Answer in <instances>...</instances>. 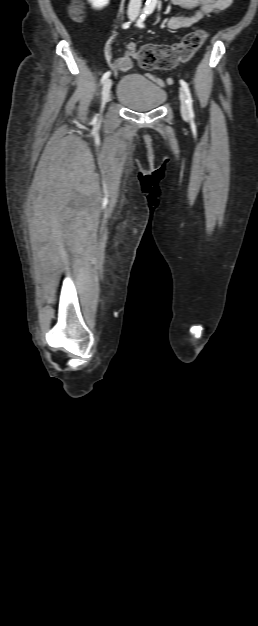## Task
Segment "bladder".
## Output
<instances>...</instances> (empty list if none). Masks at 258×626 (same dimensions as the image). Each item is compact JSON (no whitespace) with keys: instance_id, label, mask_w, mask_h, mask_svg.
I'll return each instance as SVG.
<instances>
[{"instance_id":"1","label":"bladder","mask_w":258,"mask_h":626,"mask_svg":"<svg viewBox=\"0 0 258 626\" xmlns=\"http://www.w3.org/2000/svg\"><path fill=\"white\" fill-rule=\"evenodd\" d=\"M166 91L142 75L122 78L116 87V99L131 111L149 112L161 107Z\"/></svg>"}]
</instances>
